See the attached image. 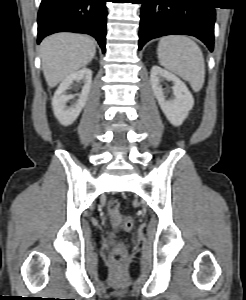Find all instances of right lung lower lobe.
<instances>
[{
	"label": "right lung lower lobe",
	"instance_id": "obj_1",
	"mask_svg": "<svg viewBox=\"0 0 246 300\" xmlns=\"http://www.w3.org/2000/svg\"><path fill=\"white\" fill-rule=\"evenodd\" d=\"M107 0H42L38 13V39L61 31L89 34L102 51L106 44Z\"/></svg>",
	"mask_w": 246,
	"mask_h": 300
}]
</instances>
